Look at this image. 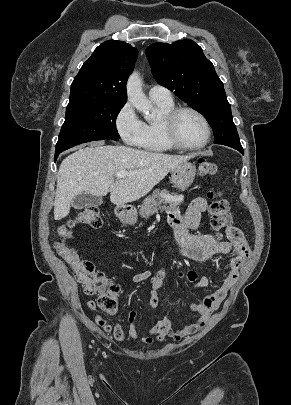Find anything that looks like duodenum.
<instances>
[{
  "label": "duodenum",
  "instance_id": "410a0bca",
  "mask_svg": "<svg viewBox=\"0 0 291 405\" xmlns=\"http://www.w3.org/2000/svg\"><path fill=\"white\" fill-rule=\"evenodd\" d=\"M131 211L132 209L130 206H123L119 208V215L125 218L131 213Z\"/></svg>",
  "mask_w": 291,
  "mask_h": 405
}]
</instances>
